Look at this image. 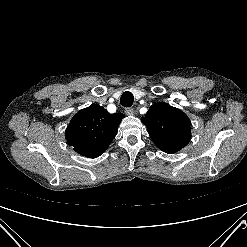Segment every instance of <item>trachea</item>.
Returning <instances> with one entry per match:
<instances>
[{
	"label": "trachea",
	"instance_id": "1",
	"mask_svg": "<svg viewBox=\"0 0 247 247\" xmlns=\"http://www.w3.org/2000/svg\"><path fill=\"white\" fill-rule=\"evenodd\" d=\"M134 102V96L131 92H124L120 98V104L124 107L132 106Z\"/></svg>",
	"mask_w": 247,
	"mask_h": 247
}]
</instances>
